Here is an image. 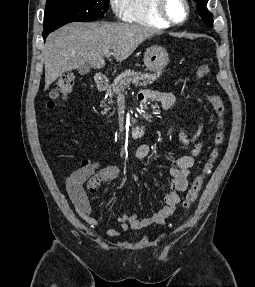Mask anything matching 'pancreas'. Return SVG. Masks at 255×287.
Segmentation results:
<instances>
[{"label": "pancreas", "mask_w": 255, "mask_h": 287, "mask_svg": "<svg viewBox=\"0 0 255 287\" xmlns=\"http://www.w3.org/2000/svg\"><path fill=\"white\" fill-rule=\"evenodd\" d=\"M162 72H157V74H142V72H133V70H126L120 76L115 78L113 84L109 86L106 94L109 96L108 104H112V98L118 96L121 92H124V88L129 86V84H134V86H148L155 82L157 78H160ZM100 108H105V102H102Z\"/></svg>", "instance_id": "pancreas-1"}]
</instances>
